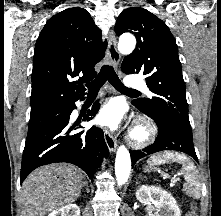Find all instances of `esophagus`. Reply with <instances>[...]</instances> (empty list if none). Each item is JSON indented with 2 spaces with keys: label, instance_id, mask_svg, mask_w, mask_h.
<instances>
[{
  "label": "esophagus",
  "instance_id": "1",
  "mask_svg": "<svg viewBox=\"0 0 221 216\" xmlns=\"http://www.w3.org/2000/svg\"><path fill=\"white\" fill-rule=\"evenodd\" d=\"M107 53H108L109 59L111 60L112 64L115 67H118L120 64V61H121V56H120V53L117 49L116 37L112 31L109 34ZM103 133H104V140L106 142V145H107L109 151L114 152L117 148V141H116L113 133L108 128H104Z\"/></svg>",
  "mask_w": 221,
  "mask_h": 216
}]
</instances>
